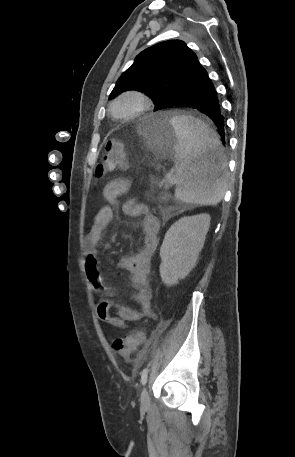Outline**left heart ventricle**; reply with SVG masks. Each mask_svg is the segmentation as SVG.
Instances as JSON below:
<instances>
[{
    "label": "left heart ventricle",
    "instance_id": "1",
    "mask_svg": "<svg viewBox=\"0 0 295 457\" xmlns=\"http://www.w3.org/2000/svg\"><path fill=\"white\" fill-rule=\"evenodd\" d=\"M133 107L134 103L130 100H127L118 105L117 111L120 113H126L129 112Z\"/></svg>",
    "mask_w": 295,
    "mask_h": 457
}]
</instances>
